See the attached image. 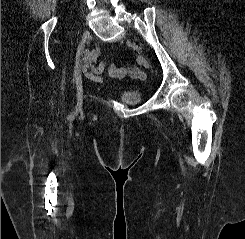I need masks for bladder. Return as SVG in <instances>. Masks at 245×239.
I'll list each match as a JSON object with an SVG mask.
<instances>
[{
	"label": "bladder",
	"instance_id": "obj_1",
	"mask_svg": "<svg viewBox=\"0 0 245 239\" xmlns=\"http://www.w3.org/2000/svg\"><path fill=\"white\" fill-rule=\"evenodd\" d=\"M120 100L124 101L127 104H139L144 99V94L140 89H128L123 90L119 95Z\"/></svg>",
	"mask_w": 245,
	"mask_h": 239
}]
</instances>
